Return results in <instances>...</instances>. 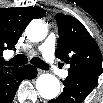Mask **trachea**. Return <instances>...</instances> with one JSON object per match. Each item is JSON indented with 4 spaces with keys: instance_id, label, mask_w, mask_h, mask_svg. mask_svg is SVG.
Listing matches in <instances>:
<instances>
[{
    "instance_id": "obj_1",
    "label": "trachea",
    "mask_w": 103,
    "mask_h": 103,
    "mask_svg": "<svg viewBox=\"0 0 103 103\" xmlns=\"http://www.w3.org/2000/svg\"><path fill=\"white\" fill-rule=\"evenodd\" d=\"M27 62H28V59L25 55L18 54L14 58H12L9 62H5V64L8 66H21L26 64ZM30 62L40 69H43V70L48 69L47 64L38 57L32 58Z\"/></svg>"
}]
</instances>
